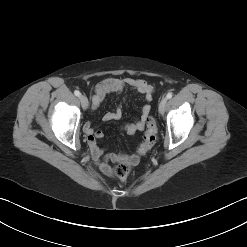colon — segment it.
Listing matches in <instances>:
<instances>
[{
  "label": "colon",
  "mask_w": 247,
  "mask_h": 247,
  "mask_svg": "<svg viewBox=\"0 0 247 247\" xmlns=\"http://www.w3.org/2000/svg\"><path fill=\"white\" fill-rule=\"evenodd\" d=\"M157 124L153 117L146 119V131L143 136V142L138 148V154H146L155 144L157 138ZM131 169V165L126 161H120L114 167V173L120 180H126Z\"/></svg>",
  "instance_id": "colon-1"
}]
</instances>
